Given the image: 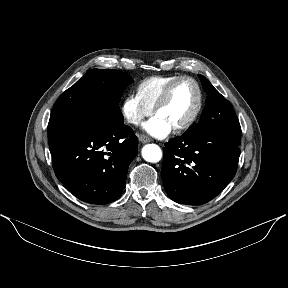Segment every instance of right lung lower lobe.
<instances>
[{
    "label": "right lung lower lobe",
    "mask_w": 288,
    "mask_h": 288,
    "mask_svg": "<svg viewBox=\"0 0 288 288\" xmlns=\"http://www.w3.org/2000/svg\"><path fill=\"white\" fill-rule=\"evenodd\" d=\"M49 147L57 178L78 199L115 201L125 188L138 139L130 127L114 124L85 105L49 122Z\"/></svg>",
    "instance_id": "obj_1"
}]
</instances>
